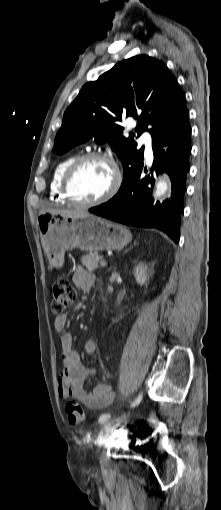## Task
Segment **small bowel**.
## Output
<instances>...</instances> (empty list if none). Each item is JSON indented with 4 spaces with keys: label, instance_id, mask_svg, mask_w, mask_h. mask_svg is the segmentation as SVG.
Instances as JSON below:
<instances>
[{
    "label": "small bowel",
    "instance_id": "1",
    "mask_svg": "<svg viewBox=\"0 0 221 510\" xmlns=\"http://www.w3.org/2000/svg\"><path fill=\"white\" fill-rule=\"evenodd\" d=\"M74 284L84 290L91 289L95 281L94 274L82 266H76L72 275ZM68 316L58 315L54 320L57 331H63L67 327ZM62 367L58 377V393L61 398H73L81 402L89 409H99L108 406L114 399V393L109 383L103 382L94 386L91 390L85 388L88 379L95 375V371L85 366L79 355L73 348V337L69 333L61 336ZM85 352L92 355L96 352V343L86 341Z\"/></svg>",
    "mask_w": 221,
    "mask_h": 510
}]
</instances>
